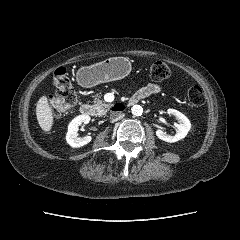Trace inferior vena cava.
Masks as SVG:
<instances>
[{
    "label": "inferior vena cava",
    "instance_id": "inferior-vena-cava-1",
    "mask_svg": "<svg viewBox=\"0 0 240 240\" xmlns=\"http://www.w3.org/2000/svg\"><path fill=\"white\" fill-rule=\"evenodd\" d=\"M124 117L123 113H111L110 119L112 122H116Z\"/></svg>",
    "mask_w": 240,
    "mask_h": 240
}]
</instances>
